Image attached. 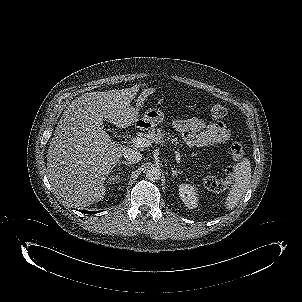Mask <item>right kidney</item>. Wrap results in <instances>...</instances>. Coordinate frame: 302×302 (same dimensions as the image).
Masks as SVG:
<instances>
[{
    "instance_id": "right-kidney-1",
    "label": "right kidney",
    "mask_w": 302,
    "mask_h": 302,
    "mask_svg": "<svg viewBox=\"0 0 302 302\" xmlns=\"http://www.w3.org/2000/svg\"><path fill=\"white\" fill-rule=\"evenodd\" d=\"M119 177L120 176H118V175L117 176H112V177L109 178L108 182L114 184L115 182H117V180H119Z\"/></svg>"
}]
</instances>
